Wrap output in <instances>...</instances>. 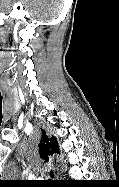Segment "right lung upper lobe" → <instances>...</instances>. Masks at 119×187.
<instances>
[{
  "mask_svg": "<svg viewBox=\"0 0 119 187\" xmlns=\"http://www.w3.org/2000/svg\"><path fill=\"white\" fill-rule=\"evenodd\" d=\"M39 147V154L45 162L49 160V156L53 155L54 153L59 152L58 144L54 136L50 139L46 135L45 131L42 129V136L40 143L38 144Z\"/></svg>",
  "mask_w": 119,
  "mask_h": 187,
  "instance_id": "obj_1",
  "label": "right lung upper lobe"
}]
</instances>
